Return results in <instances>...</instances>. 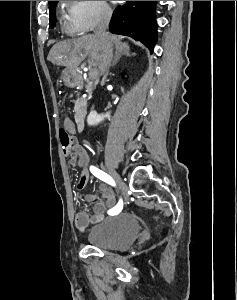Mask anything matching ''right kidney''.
<instances>
[{
	"mask_svg": "<svg viewBox=\"0 0 237 300\" xmlns=\"http://www.w3.org/2000/svg\"><path fill=\"white\" fill-rule=\"evenodd\" d=\"M104 119H110V113H105V115L101 113V115H98L96 111H91L87 117V123L88 125H99V123H102Z\"/></svg>",
	"mask_w": 237,
	"mask_h": 300,
	"instance_id": "obj_1",
	"label": "right kidney"
}]
</instances>
